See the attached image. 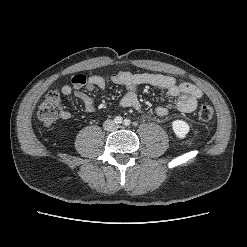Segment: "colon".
Returning a JSON list of instances; mask_svg holds the SVG:
<instances>
[{
    "label": "colon",
    "instance_id": "colon-1",
    "mask_svg": "<svg viewBox=\"0 0 247 247\" xmlns=\"http://www.w3.org/2000/svg\"><path fill=\"white\" fill-rule=\"evenodd\" d=\"M62 111L60 95L57 90L50 91L38 108V118L46 126H50L59 117ZM198 118L201 121H209L214 114L213 107L203 104L198 109Z\"/></svg>",
    "mask_w": 247,
    "mask_h": 247
}]
</instances>
